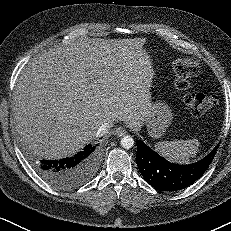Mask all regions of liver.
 I'll use <instances>...</instances> for the list:
<instances>
[{"mask_svg": "<svg viewBox=\"0 0 231 231\" xmlns=\"http://www.w3.org/2000/svg\"><path fill=\"white\" fill-rule=\"evenodd\" d=\"M146 38H79L33 58L22 69L13 118L23 143L60 159L97 138L106 122L139 130L150 114L154 70Z\"/></svg>", "mask_w": 231, "mask_h": 231, "instance_id": "1", "label": "liver"}]
</instances>
